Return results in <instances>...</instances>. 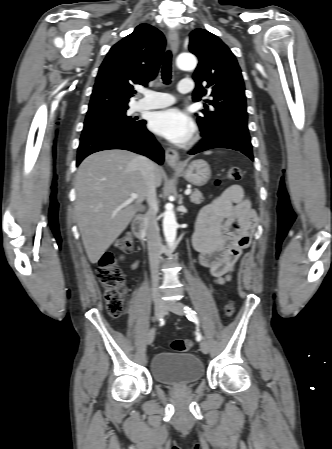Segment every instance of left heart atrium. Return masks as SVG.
Instances as JSON below:
<instances>
[{"label":"left heart atrium","instance_id":"obj_1","mask_svg":"<svg viewBox=\"0 0 332 449\" xmlns=\"http://www.w3.org/2000/svg\"><path fill=\"white\" fill-rule=\"evenodd\" d=\"M149 125L152 131L175 143L187 141L194 129L191 119L176 108L155 112Z\"/></svg>","mask_w":332,"mask_h":449}]
</instances>
